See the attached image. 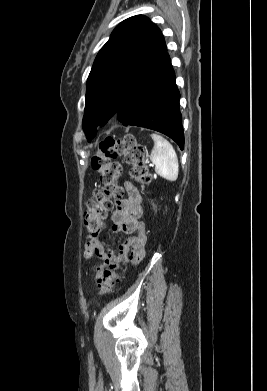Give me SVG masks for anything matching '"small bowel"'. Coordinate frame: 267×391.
I'll use <instances>...</instances> for the list:
<instances>
[{"mask_svg":"<svg viewBox=\"0 0 267 391\" xmlns=\"http://www.w3.org/2000/svg\"><path fill=\"white\" fill-rule=\"evenodd\" d=\"M127 197L118 199L113 208L111 219L114 233H126L130 235L117 250H114L104 240L96 237L88 243L85 256L90 258L96 255L98 263L94 267L96 279L102 276L105 269H117L120 263H138L146 255L147 237L145 225L140 218L143 213L142 197L137 187L131 183H125Z\"/></svg>","mask_w":267,"mask_h":391,"instance_id":"1","label":"small bowel"}]
</instances>
